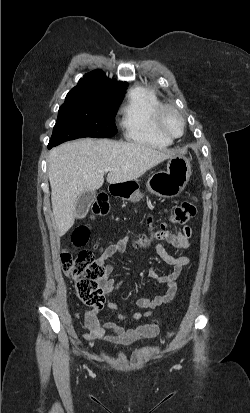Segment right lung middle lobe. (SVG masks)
I'll return each instance as SVG.
<instances>
[{
	"label": "right lung middle lobe",
	"mask_w": 250,
	"mask_h": 413,
	"mask_svg": "<svg viewBox=\"0 0 250 413\" xmlns=\"http://www.w3.org/2000/svg\"><path fill=\"white\" fill-rule=\"evenodd\" d=\"M124 96L71 90L59 108L48 146L83 138H108L116 134L115 115Z\"/></svg>",
	"instance_id": "1"
}]
</instances>
